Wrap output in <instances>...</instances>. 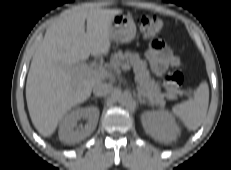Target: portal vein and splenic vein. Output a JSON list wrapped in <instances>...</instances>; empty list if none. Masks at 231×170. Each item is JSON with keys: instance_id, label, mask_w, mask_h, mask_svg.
I'll return each instance as SVG.
<instances>
[{"instance_id": "portal-vein-and-splenic-vein-1", "label": "portal vein and splenic vein", "mask_w": 231, "mask_h": 170, "mask_svg": "<svg viewBox=\"0 0 231 170\" xmlns=\"http://www.w3.org/2000/svg\"><path fill=\"white\" fill-rule=\"evenodd\" d=\"M76 69H80L81 72L85 73V74H92L98 78H108V77H112L113 74L111 71H108L106 69H104L103 67H98V68H94V69H90V67L87 64H81L79 67H76ZM123 70H129L130 66L125 64L122 66ZM137 89L144 95V96H148L147 93H145L139 86H137Z\"/></svg>"}]
</instances>
